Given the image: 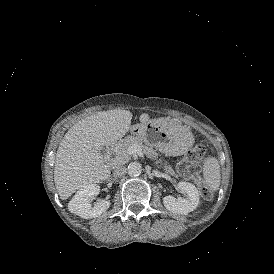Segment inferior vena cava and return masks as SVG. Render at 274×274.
I'll list each match as a JSON object with an SVG mask.
<instances>
[{"instance_id":"obj_1","label":"inferior vena cava","mask_w":274,"mask_h":274,"mask_svg":"<svg viewBox=\"0 0 274 274\" xmlns=\"http://www.w3.org/2000/svg\"><path fill=\"white\" fill-rule=\"evenodd\" d=\"M126 173H127V168L125 166H120L115 170L114 175L116 177H123Z\"/></svg>"}]
</instances>
